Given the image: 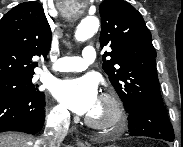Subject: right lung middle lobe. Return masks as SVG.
<instances>
[{"label":"right lung middle lobe","instance_id":"dd1d6c3e","mask_svg":"<svg viewBox=\"0 0 183 147\" xmlns=\"http://www.w3.org/2000/svg\"><path fill=\"white\" fill-rule=\"evenodd\" d=\"M33 74L0 80V95L6 93H37L38 85L32 83Z\"/></svg>","mask_w":183,"mask_h":147}]
</instances>
